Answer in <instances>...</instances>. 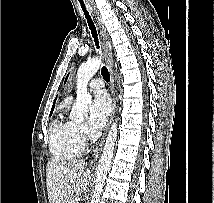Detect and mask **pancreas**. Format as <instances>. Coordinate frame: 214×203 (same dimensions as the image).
Here are the masks:
<instances>
[{
    "label": "pancreas",
    "mask_w": 214,
    "mask_h": 203,
    "mask_svg": "<svg viewBox=\"0 0 214 203\" xmlns=\"http://www.w3.org/2000/svg\"><path fill=\"white\" fill-rule=\"evenodd\" d=\"M67 203H73V200H68Z\"/></svg>",
    "instance_id": "1"
}]
</instances>
